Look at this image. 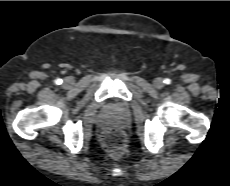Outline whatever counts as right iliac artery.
Masks as SVG:
<instances>
[{"mask_svg":"<svg viewBox=\"0 0 230 186\" xmlns=\"http://www.w3.org/2000/svg\"><path fill=\"white\" fill-rule=\"evenodd\" d=\"M55 83L58 84V85H60V84L62 83V80H61V79H57V80L55 81Z\"/></svg>","mask_w":230,"mask_h":186,"instance_id":"obj_1","label":"right iliac artery"}]
</instances>
